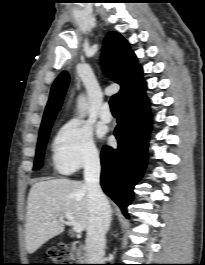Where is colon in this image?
Masks as SVG:
<instances>
[{"label": "colon", "instance_id": "obj_1", "mask_svg": "<svg viewBox=\"0 0 205 265\" xmlns=\"http://www.w3.org/2000/svg\"><path fill=\"white\" fill-rule=\"evenodd\" d=\"M47 257L52 263H54L50 265H71L68 263H71L75 254L70 246L59 244L49 249Z\"/></svg>", "mask_w": 205, "mask_h": 265}]
</instances>
